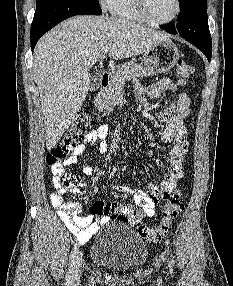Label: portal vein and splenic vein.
I'll use <instances>...</instances> for the list:
<instances>
[{"label":"portal vein and splenic vein","instance_id":"18ae733b","mask_svg":"<svg viewBox=\"0 0 233 286\" xmlns=\"http://www.w3.org/2000/svg\"><path fill=\"white\" fill-rule=\"evenodd\" d=\"M111 46H106L104 49H103V53L106 54L109 52Z\"/></svg>","mask_w":233,"mask_h":286}]
</instances>
